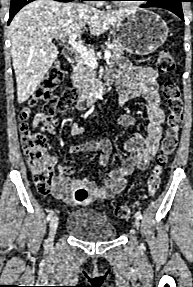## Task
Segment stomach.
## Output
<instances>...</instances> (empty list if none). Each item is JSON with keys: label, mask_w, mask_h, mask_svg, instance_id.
I'll list each match as a JSON object with an SVG mask.
<instances>
[{"label": "stomach", "mask_w": 193, "mask_h": 287, "mask_svg": "<svg viewBox=\"0 0 193 287\" xmlns=\"http://www.w3.org/2000/svg\"><path fill=\"white\" fill-rule=\"evenodd\" d=\"M166 22L149 10L130 13L112 29L113 40L135 55H148L158 49L167 39Z\"/></svg>", "instance_id": "stomach-1"}]
</instances>
